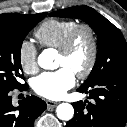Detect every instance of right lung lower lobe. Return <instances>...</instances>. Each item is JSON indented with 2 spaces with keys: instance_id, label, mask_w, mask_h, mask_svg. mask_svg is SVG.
<instances>
[{
  "instance_id": "98d812e1",
  "label": "right lung lower lobe",
  "mask_w": 127,
  "mask_h": 127,
  "mask_svg": "<svg viewBox=\"0 0 127 127\" xmlns=\"http://www.w3.org/2000/svg\"><path fill=\"white\" fill-rule=\"evenodd\" d=\"M18 89L27 90L28 85L24 84ZM18 103L16 107L12 105L10 91H0V127H34V120L47 107L42 99L33 95Z\"/></svg>"
}]
</instances>
